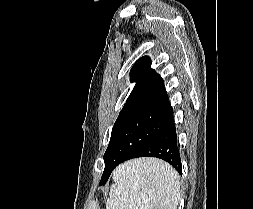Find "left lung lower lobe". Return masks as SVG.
I'll list each match as a JSON object with an SVG mask.
<instances>
[{"label":"left lung lower lobe","instance_id":"left-lung-lower-lobe-1","mask_svg":"<svg viewBox=\"0 0 253 209\" xmlns=\"http://www.w3.org/2000/svg\"><path fill=\"white\" fill-rule=\"evenodd\" d=\"M138 157H157L170 163L180 174H182V166L180 153L177 146V134L175 129L174 119L144 148L132 156L125 157L124 159L114 161L112 165L107 167L102 175L100 185L105 184L111 172L120 163Z\"/></svg>","mask_w":253,"mask_h":209}]
</instances>
